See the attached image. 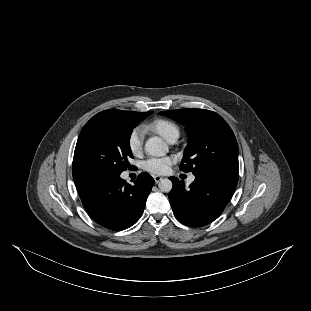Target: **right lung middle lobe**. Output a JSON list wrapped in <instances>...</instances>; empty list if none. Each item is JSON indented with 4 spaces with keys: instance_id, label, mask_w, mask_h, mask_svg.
<instances>
[{
    "instance_id": "dd1d6c3e",
    "label": "right lung middle lobe",
    "mask_w": 311,
    "mask_h": 311,
    "mask_svg": "<svg viewBox=\"0 0 311 311\" xmlns=\"http://www.w3.org/2000/svg\"><path fill=\"white\" fill-rule=\"evenodd\" d=\"M152 114L105 110L82 128L74 151V181L96 175H120L132 158L130 136L133 128Z\"/></svg>"
}]
</instances>
